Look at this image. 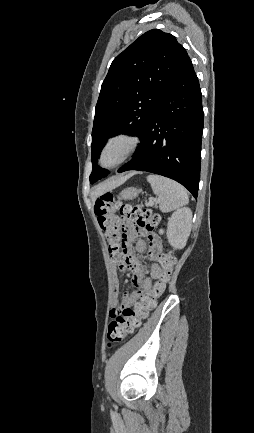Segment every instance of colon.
Returning a JSON list of instances; mask_svg holds the SVG:
<instances>
[{
	"instance_id": "obj_1",
	"label": "colon",
	"mask_w": 254,
	"mask_h": 433,
	"mask_svg": "<svg viewBox=\"0 0 254 433\" xmlns=\"http://www.w3.org/2000/svg\"><path fill=\"white\" fill-rule=\"evenodd\" d=\"M120 211V217L114 211ZM98 223L104 232L108 250L112 258H121L126 254L128 233L126 225L132 228H153L159 225L160 217L139 204L116 201L110 192L102 194L95 202ZM161 271L153 288L141 296L140 302L131 308L125 304L112 314L107 327L109 346L122 343L140 326L141 320L148 316L157 299L164 293L169 283L176 257L172 251L160 255Z\"/></svg>"
}]
</instances>
